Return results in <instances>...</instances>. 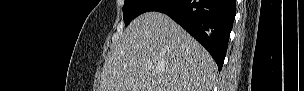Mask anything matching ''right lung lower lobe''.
I'll list each match as a JSON object with an SVG mask.
<instances>
[{"label":"right lung lower lobe","mask_w":304,"mask_h":91,"mask_svg":"<svg viewBox=\"0 0 304 91\" xmlns=\"http://www.w3.org/2000/svg\"><path fill=\"white\" fill-rule=\"evenodd\" d=\"M157 11L181 25L222 69L236 14V0H155L146 12Z\"/></svg>","instance_id":"right-lung-lower-lobe-1"}]
</instances>
